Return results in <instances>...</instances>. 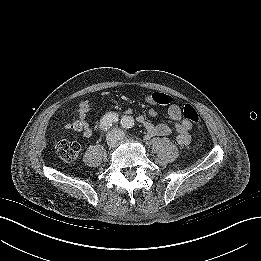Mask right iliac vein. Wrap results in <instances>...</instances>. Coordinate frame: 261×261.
<instances>
[{"label":"right iliac vein","instance_id":"1","mask_svg":"<svg viewBox=\"0 0 261 261\" xmlns=\"http://www.w3.org/2000/svg\"><path fill=\"white\" fill-rule=\"evenodd\" d=\"M106 142H107L109 147H114L116 145V143H117V136H116V134L114 132L108 134L107 137H106Z\"/></svg>","mask_w":261,"mask_h":261}]
</instances>
